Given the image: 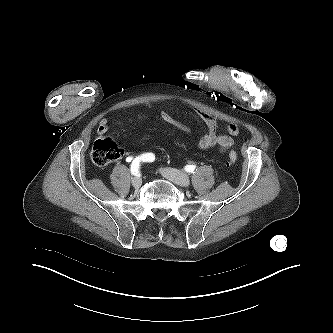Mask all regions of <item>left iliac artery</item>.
I'll return each mask as SVG.
<instances>
[{"instance_id": "obj_1", "label": "left iliac artery", "mask_w": 333, "mask_h": 333, "mask_svg": "<svg viewBox=\"0 0 333 333\" xmlns=\"http://www.w3.org/2000/svg\"><path fill=\"white\" fill-rule=\"evenodd\" d=\"M184 169H185L186 172L193 173L196 169V166L195 165H187Z\"/></svg>"}]
</instances>
